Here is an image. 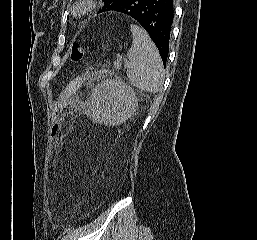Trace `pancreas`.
<instances>
[{
  "label": "pancreas",
  "instance_id": "1",
  "mask_svg": "<svg viewBox=\"0 0 257 240\" xmlns=\"http://www.w3.org/2000/svg\"><path fill=\"white\" fill-rule=\"evenodd\" d=\"M114 66H115V68L120 69L121 64L119 63V61H115Z\"/></svg>",
  "mask_w": 257,
  "mask_h": 240
}]
</instances>
